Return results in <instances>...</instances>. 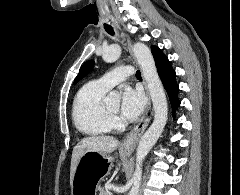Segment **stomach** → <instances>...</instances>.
<instances>
[{
	"label": "stomach",
	"instance_id": "obj_1",
	"mask_svg": "<svg viewBox=\"0 0 240 195\" xmlns=\"http://www.w3.org/2000/svg\"><path fill=\"white\" fill-rule=\"evenodd\" d=\"M135 145L123 147L120 145L122 155H128ZM112 155H101L97 151L85 149L71 181V195H97L99 183L113 167Z\"/></svg>",
	"mask_w": 240,
	"mask_h": 195
}]
</instances>
